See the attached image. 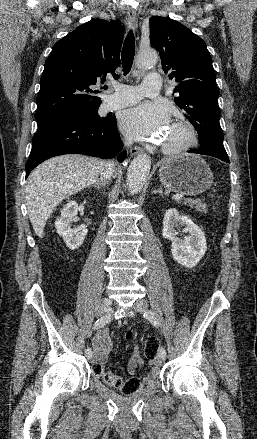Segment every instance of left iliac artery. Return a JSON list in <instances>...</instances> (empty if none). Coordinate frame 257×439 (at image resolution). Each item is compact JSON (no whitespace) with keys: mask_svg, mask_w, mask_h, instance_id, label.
I'll list each match as a JSON object with an SVG mask.
<instances>
[{"mask_svg":"<svg viewBox=\"0 0 257 439\" xmlns=\"http://www.w3.org/2000/svg\"><path fill=\"white\" fill-rule=\"evenodd\" d=\"M144 317H146L154 326H158V321L151 311L145 312ZM159 355L163 358H166V351L163 347L159 349Z\"/></svg>","mask_w":257,"mask_h":439,"instance_id":"obj_1","label":"left iliac artery"}]
</instances>
